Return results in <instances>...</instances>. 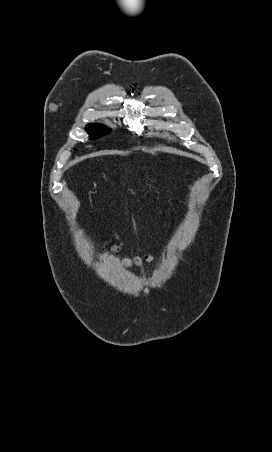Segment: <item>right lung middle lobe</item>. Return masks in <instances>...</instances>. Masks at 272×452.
I'll list each match as a JSON object with an SVG mask.
<instances>
[{
	"mask_svg": "<svg viewBox=\"0 0 272 452\" xmlns=\"http://www.w3.org/2000/svg\"><path fill=\"white\" fill-rule=\"evenodd\" d=\"M86 129H87V132H88L89 134H91V138H92V139L98 137V134H97L98 129H99V126H98V125L89 124V125L86 126ZM108 132H110V130L107 129V130H104L101 134H106V133H108Z\"/></svg>",
	"mask_w": 272,
	"mask_h": 452,
	"instance_id": "dd1d6c3e",
	"label": "right lung middle lobe"
}]
</instances>
